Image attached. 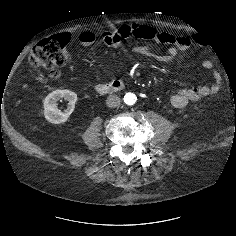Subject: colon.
I'll return each instance as SVG.
<instances>
[{"label":"colon","instance_id":"1","mask_svg":"<svg viewBox=\"0 0 236 236\" xmlns=\"http://www.w3.org/2000/svg\"><path fill=\"white\" fill-rule=\"evenodd\" d=\"M66 43L67 40L61 35L42 40L33 47L28 56L30 66L55 71L66 65L70 60Z\"/></svg>","mask_w":236,"mask_h":236}]
</instances>
